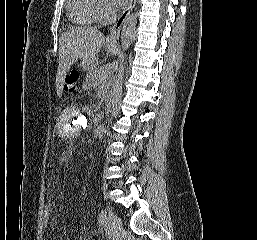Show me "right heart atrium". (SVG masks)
Here are the masks:
<instances>
[{"label":"right heart atrium","instance_id":"right-heart-atrium-1","mask_svg":"<svg viewBox=\"0 0 257 240\" xmlns=\"http://www.w3.org/2000/svg\"><path fill=\"white\" fill-rule=\"evenodd\" d=\"M97 7H96V19L100 23H105L107 22L112 13L113 10L111 6L106 2V0H97Z\"/></svg>","mask_w":257,"mask_h":240}]
</instances>
